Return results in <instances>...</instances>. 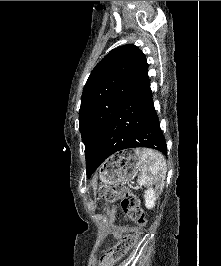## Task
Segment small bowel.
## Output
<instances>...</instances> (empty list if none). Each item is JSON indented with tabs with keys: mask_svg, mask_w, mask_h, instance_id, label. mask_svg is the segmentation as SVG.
Masks as SVG:
<instances>
[{
	"mask_svg": "<svg viewBox=\"0 0 221 266\" xmlns=\"http://www.w3.org/2000/svg\"><path fill=\"white\" fill-rule=\"evenodd\" d=\"M116 231L124 232L126 231V228H119V229H116Z\"/></svg>",
	"mask_w": 221,
	"mask_h": 266,
	"instance_id": "1",
	"label": "small bowel"
}]
</instances>
